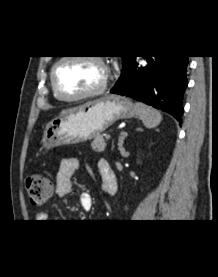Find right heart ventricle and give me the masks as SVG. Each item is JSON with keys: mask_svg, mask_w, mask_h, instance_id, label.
Returning a JSON list of instances; mask_svg holds the SVG:
<instances>
[{"mask_svg": "<svg viewBox=\"0 0 218 277\" xmlns=\"http://www.w3.org/2000/svg\"><path fill=\"white\" fill-rule=\"evenodd\" d=\"M54 96H55V98H56V99H59V100H60V98H59V97H57L55 93H54Z\"/></svg>", "mask_w": 218, "mask_h": 277, "instance_id": "obj_1", "label": "right heart ventricle"}]
</instances>
